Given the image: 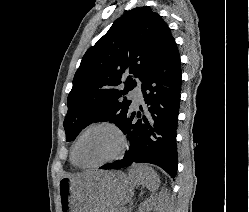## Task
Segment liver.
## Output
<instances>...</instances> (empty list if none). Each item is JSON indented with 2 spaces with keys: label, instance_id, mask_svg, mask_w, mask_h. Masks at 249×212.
<instances>
[{
  "label": "liver",
  "instance_id": "obj_1",
  "mask_svg": "<svg viewBox=\"0 0 249 212\" xmlns=\"http://www.w3.org/2000/svg\"><path fill=\"white\" fill-rule=\"evenodd\" d=\"M148 166L145 164H133L128 174L118 172H87L77 174L76 178L89 182L94 190H98L99 198L106 212L117 206H125L131 202L135 188L146 186V172ZM156 184L159 188V178L156 176ZM147 188V186H146Z\"/></svg>",
  "mask_w": 249,
  "mask_h": 212
}]
</instances>
